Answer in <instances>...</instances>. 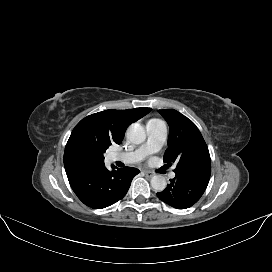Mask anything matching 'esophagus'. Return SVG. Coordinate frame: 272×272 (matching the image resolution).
Instances as JSON below:
<instances>
[{"mask_svg":"<svg viewBox=\"0 0 272 272\" xmlns=\"http://www.w3.org/2000/svg\"><path fill=\"white\" fill-rule=\"evenodd\" d=\"M144 173H145V175H146L147 177H152V176L155 175L154 172L147 171V170H145Z\"/></svg>","mask_w":272,"mask_h":272,"instance_id":"esophagus-1","label":"esophagus"}]
</instances>
